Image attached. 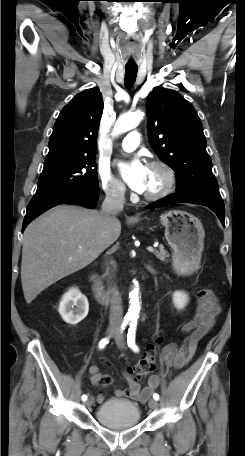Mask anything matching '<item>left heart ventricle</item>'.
I'll return each instance as SVG.
<instances>
[{"label":"left heart ventricle","instance_id":"left-heart-ventricle-1","mask_svg":"<svg viewBox=\"0 0 245 456\" xmlns=\"http://www.w3.org/2000/svg\"><path fill=\"white\" fill-rule=\"evenodd\" d=\"M165 178L161 170L147 167L146 186L144 193L156 192L164 184Z\"/></svg>","mask_w":245,"mask_h":456}]
</instances>
